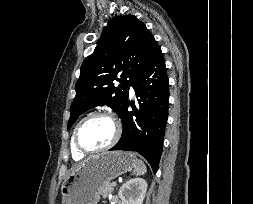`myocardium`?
<instances>
[{
    "mask_svg": "<svg viewBox=\"0 0 253 204\" xmlns=\"http://www.w3.org/2000/svg\"><path fill=\"white\" fill-rule=\"evenodd\" d=\"M96 117H104V118H107V119L111 120L113 122L114 126H115V134H114L112 140L107 145H105L101 148L89 150V149L84 148L80 144L79 133H80V130H81L82 126L86 122H88L89 120H91L93 118H96ZM121 134H122V126H121L120 122L116 119L115 116H113L111 113H108V112H93V113L87 115L85 118H83L79 122V124L77 125V127L74 130L73 142H74V146H75L76 150L79 153H81L83 155L96 154V153H100V152L109 150L112 147H114L117 144V142L119 141V139L121 137Z\"/></svg>",
    "mask_w": 253,
    "mask_h": 204,
    "instance_id": "f54148a6",
    "label": "myocardium"
}]
</instances>
